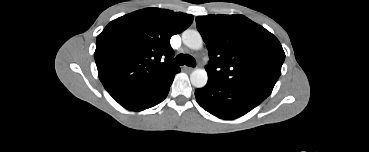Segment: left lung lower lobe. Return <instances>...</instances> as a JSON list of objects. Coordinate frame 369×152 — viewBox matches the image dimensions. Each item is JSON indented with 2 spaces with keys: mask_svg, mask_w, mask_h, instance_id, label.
Listing matches in <instances>:
<instances>
[{
  "mask_svg": "<svg viewBox=\"0 0 369 152\" xmlns=\"http://www.w3.org/2000/svg\"><path fill=\"white\" fill-rule=\"evenodd\" d=\"M195 96L203 109L221 119L241 117L267 97L264 93L230 86L209 76L207 85L197 89Z\"/></svg>",
  "mask_w": 369,
  "mask_h": 152,
  "instance_id": "obj_1",
  "label": "left lung lower lobe"
}]
</instances>
